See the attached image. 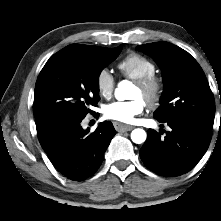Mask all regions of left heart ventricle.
I'll return each instance as SVG.
<instances>
[{"instance_id": "left-heart-ventricle-1", "label": "left heart ventricle", "mask_w": 221, "mask_h": 221, "mask_svg": "<svg viewBox=\"0 0 221 221\" xmlns=\"http://www.w3.org/2000/svg\"><path fill=\"white\" fill-rule=\"evenodd\" d=\"M132 98H140L142 99V92L141 90L135 85L131 94Z\"/></svg>"}]
</instances>
